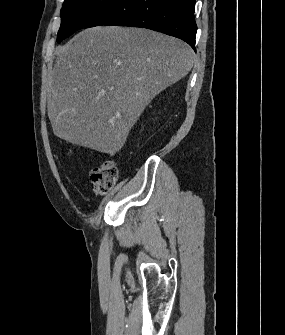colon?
I'll list each match as a JSON object with an SVG mask.
<instances>
[{
	"label": "colon",
	"mask_w": 285,
	"mask_h": 335,
	"mask_svg": "<svg viewBox=\"0 0 285 335\" xmlns=\"http://www.w3.org/2000/svg\"><path fill=\"white\" fill-rule=\"evenodd\" d=\"M90 178L96 193L104 195L118 181L119 170L113 161H105L91 170Z\"/></svg>",
	"instance_id": "obj_1"
}]
</instances>
